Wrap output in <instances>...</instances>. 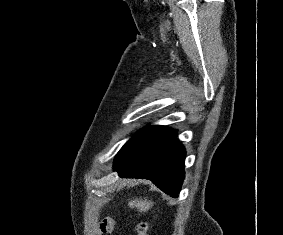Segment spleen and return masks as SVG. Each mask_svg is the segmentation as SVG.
<instances>
[{"instance_id":"1","label":"spleen","mask_w":283,"mask_h":235,"mask_svg":"<svg viewBox=\"0 0 283 235\" xmlns=\"http://www.w3.org/2000/svg\"><path fill=\"white\" fill-rule=\"evenodd\" d=\"M128 206L130 208H137L140 212H145L153 206V203L147 199H135L129 201Z\"/></svg>"}]
</instances>
